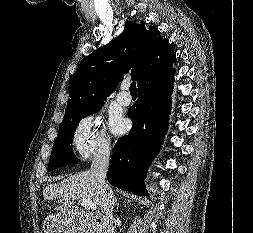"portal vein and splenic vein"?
Returning <instances> with one entry per match:
<instances>
[{
  "label": "portal vein and splenic vein",
  "mask_w": 253,
  "mask_h": 233,
  "mask_svg": "<svg viewBox=\"0 0 253 233\" xmlns=\"http://www.w3.org/2000/svg\"><path fill=\"white\" fill-rule=\"evenodd\" d=\"M81 203H82V205L87 207L89 210L94 211L97 209V205L95 203L87 200L86 198H81Z\"/></svg>",
  "instance_id": "obj_1"
}]
</instances>
